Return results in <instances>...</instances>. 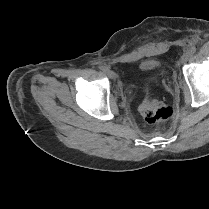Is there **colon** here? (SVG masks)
<instances>
[{"mask_svg":"<svg viewBox=\"0 0 209 209\" xmlns=\"http://www.w3.org/2000/svg\"><path fill=\"white\" fill-rule=\"evenodd\" d=\"M139 111L142 118L149 124L165 122L173 114L171 107L151 97L143 100Z\"/></svg>","mask_w":209,"mask_h":209,"instance_id":"colon-1","label":"colon"}]
</instances>
